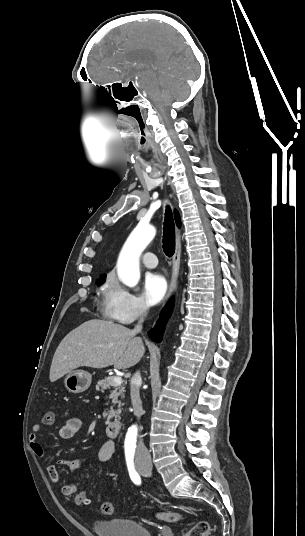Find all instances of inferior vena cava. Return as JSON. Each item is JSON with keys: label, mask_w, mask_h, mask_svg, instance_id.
<instances>
[{"label": "inferior vena cava", "mask_w": 305, "mask_h": 536, "mask_svg": "<svg viewBox=\"0 0 305 536\" xmlns=\"http://www.w3.org/2000/svg\"><path fill=\"white\" fill-rule=\"evenodd\" d=\"M146 310H148L147 306H142V308H139L138 310L139 322L137 326H135L134 330H132L134 336L135 334H139V332H141L142 330V322H144L143 316ZM138 380H141L140 372H136L133 378H131L130 396H131V402H132L134 414L135 416H137V418H140V416L144 414V410L142 408V402H141V398L139 394V386H137L136 384ZM136 460H141V462H146V460H150V454L147 448H145L142 440H140L137 446Z\"/></svg>", "instance_id": "obj_1"}]
</instances>
